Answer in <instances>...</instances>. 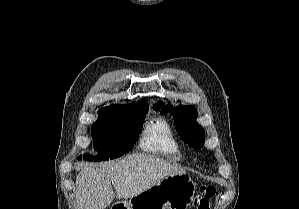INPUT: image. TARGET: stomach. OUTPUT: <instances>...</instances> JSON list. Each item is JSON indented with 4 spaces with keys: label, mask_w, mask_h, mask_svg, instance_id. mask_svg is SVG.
<instances>
[{
    "label": "stomach",
    "mask_w": 299,
    "mask_h": 209,
    "mask_svg": "<svg viewBox=\"0 0 299 209\" xmlns=\"http://www.w3.org/2000/svg\"><path fill=\"white\" fill-rule=\"evenodd\" d=\"M196 184L186 174L174 173L129 201L114 203L110 209H188Z\"/></svg>",
    "instance_id": "obj_1"
}]
</instances>
